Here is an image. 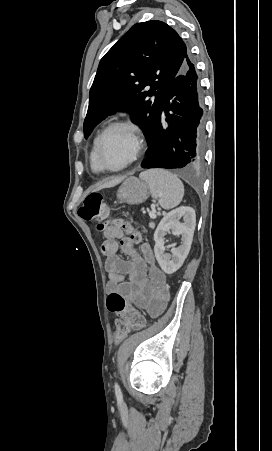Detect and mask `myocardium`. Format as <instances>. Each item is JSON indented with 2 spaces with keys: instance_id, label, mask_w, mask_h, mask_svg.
<instances>
[{
  "instance_id": "f54148a6",
  "label": "myocardium",
  "mask_w": 272,
  "mask_h": 451,
  "mask_svg": "<svg viewBox=\"0 0 272 451\" xmlns=\"http://www.w3.org/2000/svg\"><path fill=\"white\" fill-rule=\"evenodd\" d=\"M113 130H121L126 134L129 144H130V155H129L127 162L120 169L108 170L99 164V154H100V150H101V147L103 145V142H104L106 136L108 135V133H110ZM139 148H140L139 133H138V130L134 126H132L129 123H124V122H117V123L110 124L103 130V132L100 134V136L98 137L96 144H95L94 155H95V162H96V170L98 172H108L109 171V172H113V173H119V172L126 170L136 159Z\"/></svg>"
}]
</instances>
